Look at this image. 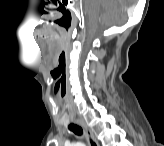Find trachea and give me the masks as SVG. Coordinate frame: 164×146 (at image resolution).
<instances>
[{
	"mask_svg": "<svg viewBox=\"0 0 164 146\" xmlns=\"http://www.w3.org/2000/svg\"><path fill=\"white\" fill-rule=\"evenodd\" d=\"M69 130L74 132L76 135H82L83 133L82 128L74 124L69 125Z\"/></svg>",
	"mask_w": 164,
	"mask_h": 146,
	"instance_id": "obj_1",
	"label": "trachea"
}]
</instances>
